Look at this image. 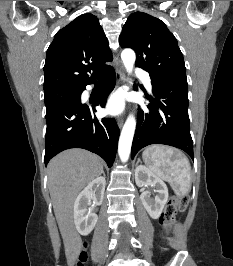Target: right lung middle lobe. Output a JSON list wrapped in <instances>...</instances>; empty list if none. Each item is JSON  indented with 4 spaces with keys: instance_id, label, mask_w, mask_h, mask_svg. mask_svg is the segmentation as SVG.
<instances>
[{
    "instance_id": "dd1d6c3e",
    "label": "right lung middle lobe",
    "mask_w": 233,
    "mask_h": 266,
    "mask_svg": "<svg viewBox=\"0 0 233 266\" xmlns=\"http://www.w3.org/2000/svg\"><path fill=\"white\" fill-rule=\"evenodd\" d=\"M81 89H65L58 90L49 93H45V105L46 110L51 109L52 107L66 102L68 100L74 99L80 95Z\"/></svg>"
}]
</instances>
